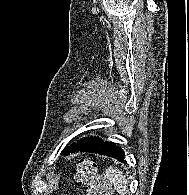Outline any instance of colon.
<instances>
[{"label": "colon", "instance_id": "obj_1", "mask_svg": "<svg viewBox=\"0 0 189 195\" xmlns=\"http://www.w3.org/2000/svg\"><path fill=\"white\" fill-rule=\"evenodd\" d=\"M75 178L81 184L89 186L88 195H107V180L93 173V167L87 159H82L77 164Z\"/></svg>", "mask_w": 189, "mask_h": 195}]
</instances>
